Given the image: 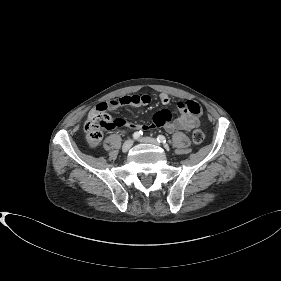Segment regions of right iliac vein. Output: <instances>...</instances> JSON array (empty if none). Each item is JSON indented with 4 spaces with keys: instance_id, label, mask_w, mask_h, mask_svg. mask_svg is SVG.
Segmentation results:
<instances>
[{
    "instance_id": "63e3f726",
    "label": "right iliac vein",
    "mask_w": 281,
    "mask_h": 281,
    "mask_svg": "<svg viewBox=\"0 0 281 281\" xmlns=\"http://www.w3.org/2000/svg\"><path fill=\"white\" fill-rule=\"evenodd\" d=\"M132 145H133V140L129 139V140L125 141L122 146V151L128 152L130 150V148L132 147Z\"/></svg>"
}]
</instances>
